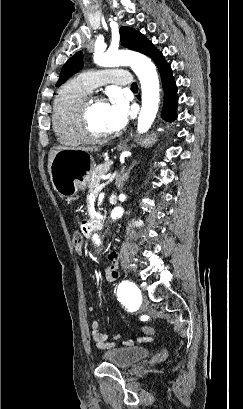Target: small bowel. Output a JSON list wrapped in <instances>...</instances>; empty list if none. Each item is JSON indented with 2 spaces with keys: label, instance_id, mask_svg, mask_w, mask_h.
I'll use <instances>...</instances> for the list:
<instances>
[{
  "label": "small bowel",
  "instance_id": "1",
  "mask_svg": "<svg viewBox=\"0 0 243 409\" xmlns=\"http://www.w3.org/2000/svg\"><path fill=\"white\" fill-rule=\"evenodd\" d=\"M117 268H118V261H117L116 255L115 253H111L109 255V264L106 268V278H107L108 283H111L119 278V273L117 271ZM95 310H96L95 306L92 305L89 307L90 312H94ZM91 331H92V338L95 342V345L99 349H108V348L113 347L115 345V342L122 337L121 334H116L113 337L112 341H108V336L105 333L101 332L100 324L98 320L96 319L92 320L91 322ZM151 339H152L151 335L144 334L143 336H138L135 339L125 340L123 341V343L125 345L132 346L135 344L147 343L151 341Z\"/></svg>",
  "mask_w": 243,
  "mask_h": 409
}]
</instances>
